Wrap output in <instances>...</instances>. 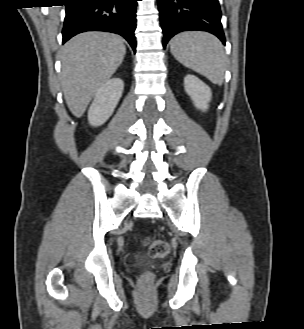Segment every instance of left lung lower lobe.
Listing matches in <instances>:
<instances>
[{"label": "left lung lower lobe", "instance_id": "1", "mask_svg": "<svg viewBox=\"0 0 304 329\" xmlns=\"http://www.w3.org/2000/svg\"><path fill=\"white\" fill-rule=\"evenodd\" d=\"M163 46L175 34L187 30L207 31L225 44L218 0H158Z\"/></svg>", "mask_w": 304, "mask_h": 329}]
</instances>
